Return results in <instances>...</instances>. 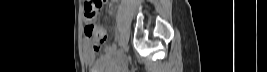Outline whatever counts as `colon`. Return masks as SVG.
<instances>
[{"label":"colon","instance_id":"colon-1","mask_svg":"<svg viewBox=\"0 0 267 72\" xmlns=\"http://www.w3.org/2000/svg\"><path fill=\"white\" fill-rule=\"evenodd\" d=\"M102 10L101 0L86 1L84 6L85 16L90 23L85 28L86 35L93 40V48L98 51L105 43L106 33L104 29L98 27L93 21Z\"/></svg>","mask_w":267,"mask_h":72}]
</instances>
